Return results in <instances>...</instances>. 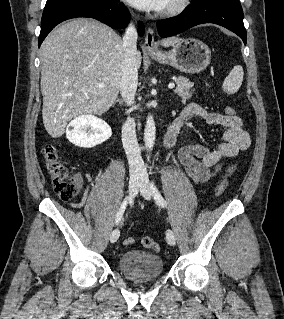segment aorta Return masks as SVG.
Returning <instances> with one entry per match:
<instances>
[{
  "label": "aorta",
  "instance_id": "aorta-1",
  "mask_svg": "<svg viewBox=\"0 0 284 319\" xmlns=\"http://www.w3.org/2000/svg\"><path fill=\"white\" fill-rule=\"evenodd\" d=\"M156 127L154 118L151 114L147 116L145 130H144V143L148 151H151L155 141Z\"/></svg>",
  "mask_w": 284,
  "mask_h": 319
}]
</instances>
